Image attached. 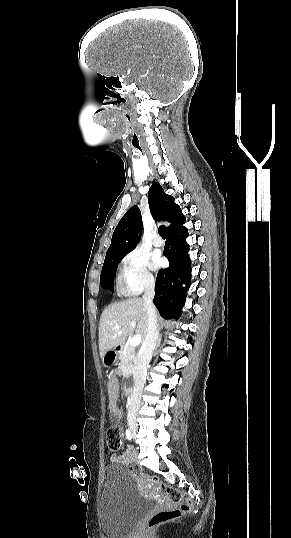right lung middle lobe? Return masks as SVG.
<instances>
[{
    "label": "right lung middle lobe",
    "instance_id": "1",
    "mask_svg": "<svg viewBox=\"0 0 291 538\" xmlns=\"http://www.w3.org/2000/svg\"><path fill=\"white\" fill-rule=\"evenodd\" d=\"M122 258L123 257H119L117 259L104 261L102 271H101V276H100V283L103 288H107L112 292L114 291L113 279H114L116 267Z\"/></svg>",
    "mask_w": 291,
    "mask_h": 538
}]
</instances>
